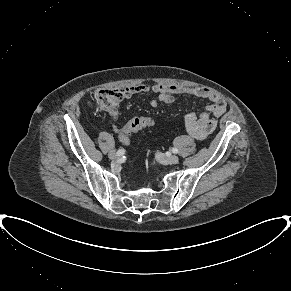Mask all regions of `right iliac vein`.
Here are the masks:
<instances>
[{
  "label": "right iliac vein",
  "instance_id": "right-iliac-vein-1",
  "mask_svg": "<svg viewBox=\"0 0 291 291\" xmlns=\"http://www.w3.org/2000/svg\"><path fill=\"white\" fill-rule=\"evenodd\" d=\"M108 157L110 159L114 160V159H117L119 157V155L117 154V152L111 151V152H109Z\"/></svg>",
  "mask_w": 291,
  "mask_h": 291
}]
</instances>
